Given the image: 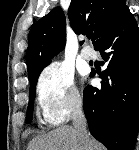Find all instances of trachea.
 <instances>
[{"instance_id":"3493384b","label":"trachea","mask_w":139,"mask_h":150,"mask_svg":"<svg viewBox=\"0 0 139 150\" xmlns=\"http://www.w3.org/2000/svg\"><path fill=\"white\" fill-rule=\"evenodd\" d=\"M87 38L90 39V38H91V35H87Z\"/></svg>"}]
</instances>
